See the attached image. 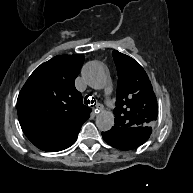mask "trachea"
I'll return each mask as SVG.
<instances>
[{"label": "trachea", "mask_w": 193, "mask_h": 193, "mask_svg": "<svg viewBox=\"0 0 193 193\" xmlns=\"http://www.w3.org/2000/svg\"><path fill=\"white\" fill-rule=\"evenodd\" d=\"M89 96H91V95H87L86 97H85V99H84V103L86 104V105H88V104H94V101H95V104H96V100H95V98L94 97H92V99L91 100H89L88 99V97ZM94 99V100H93ZM91 106H94V105H91Z\"/></svg>", "instance_id": "3493384b"}]
</instances>
